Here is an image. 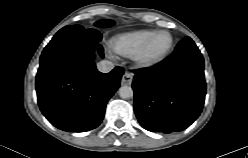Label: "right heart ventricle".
<instances>
[{
	"instance_id": "obj_1",
	"label": "right heart ventricle",
	"mask_w": 248,
	"mask_h": 158,
	"mask_svg": "<svg viewBox=\"0 0 248 158\" xmlns=\"http://www.w3.org/2000/svg\"><path fill=\"white\" fill-rule=\"evenodd\" d=\"M154 30H138L116 36L112 41L113 49L124 56H135L144 46Z\"/></svg>"
}]
</instances>
